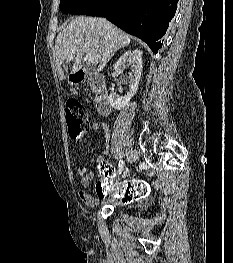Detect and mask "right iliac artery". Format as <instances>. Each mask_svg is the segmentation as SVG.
<instances>
[{"label":"right iliac artery","mask_w":233,"mask_h":263,"mask_svg":"<svg viewBox=\"0 0 233 263\" xmlns=\"http://www.w3.org/2000/svg\"><path fill=\"white\" fill-rule=\"evenodd\" d=\"M123 169H124V161L120 160L119 164H118V172H119V174L122 173Z\"/></svg>","instance_id":"right-iliac-artery-1"}]
</instances>
